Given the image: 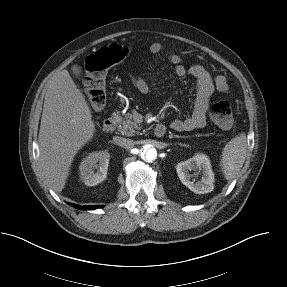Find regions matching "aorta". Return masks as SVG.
Returning <instances> with one entry per match:
<instances>
[{
  "label": "aorta",
  "mask_w": 287,
  "mask_h": 287,
  "mask_svg": "<svg viewBox=\"0 0 287 287\" xmlns=\"http://www.w3.org/2000/svg\"><path fill=\"white\" fill-rule=\"evenodd\" d=\"M141 158L146 162H153L157 158V150L149 144L141 148Z\"/></svg>",
  "instance_id": "762f6f07"
}]
</instances>
